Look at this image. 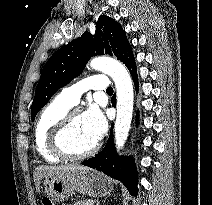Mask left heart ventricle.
Returning <instances> with one entry per match:
<instances>
[{
	"label": "left heart ventricle",
	"mask_w": 212,
	"mask_h": 205,
	"mask_svg": "<svg viewBox=\"0 0 212 205\" xmlns=\"http://www.w3.org/2000/svg\"><path fill=\"white\" fill-rule=\"evenodd\" d=\"M95 142L96 140L86 128L82 116L75 115L66 134L67 149L72 153H81L88 150Z\"/></svg>",
	"instance_id": "1"
}]
</instances>
